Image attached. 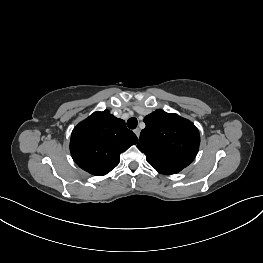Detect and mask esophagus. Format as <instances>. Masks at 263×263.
<instances>
[{
	"label": "esophagus",
	"instance_id": "esophagus-1",
	"mask_svg": "<svg viewBox=\"0 0 263 263\" xmlns=\"http://www.w3.org/2000/svg\"><path fill=\"white\" fill-rule=\"evenodd\" d=\"M134 133H135V135L139 138V136H140V129H139V128H136V129L134 130Z\"/></svg>",
	"mask_w": 263,
	"mask_h": 263
}]
</instances>
